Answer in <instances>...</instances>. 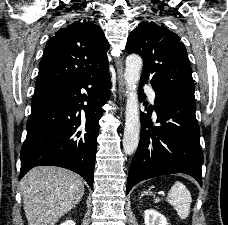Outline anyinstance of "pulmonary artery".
I'll return each mask as SVG.
<instances>
[{
	"label": "pulmonary artery",
	"instance_id": "e3ab8cb5",
	"mask_svg": "<svg viewBox=\"0 0 228 225\" xmlns=\"http://www.w3.org/2000/svg\"><path fill=\"white\" fill-rule=\"evenodd\" d=\"M142 89L143 90H146V94L148 96V99H149L150 103L152 105H154L155 104V99H156V93H155V91L152 88H150L149 85H143L142 86Z\"/></svg>",
	"mask_w": 228,
	"mask_h": 225
}]
</instances>
